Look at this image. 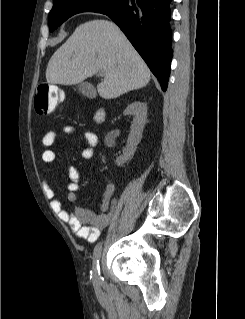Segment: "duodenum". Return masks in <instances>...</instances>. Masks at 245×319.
<instances>
[{
    "label": "duodenum",
    "mask_w": 245,
    "mask_h": 319,
    "mask_svg": "<svg viewBox=\"0 0 245 319\" xmlns=\"http://www.w3.org/2000/svg\"><path fill=\"white\" fill-rule=\"evenodd\" d=\"M105 117H106L105 108L103 106H99V108L95 114V121L97 123H102V122H104Z\"/></svg>",
    "instance_id": "410a0bca"
}]
</instances>
